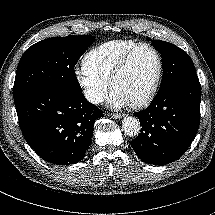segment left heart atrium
<instances>
[{"label": "left heart atrium", "mask_w": 215, "mask_h": 215, "mask_svg": "<svg viewBox=\"0 0 215 215\" xmlns=\"http://www.w3.org/2000/svg\"><path fill=\"white\" fill-rule=\"evenodd\" d=\"M111 101L117 107H123L127 105V102L116 94L111 95Z\"/></svg>", "instance_id": "1"}]
</instances>
